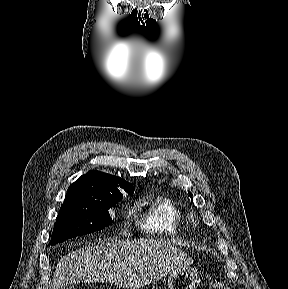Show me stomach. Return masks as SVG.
Wrapping results in <instances>:
<instances>
[{
  "label": "stomach",
  "mask_w": 288,
  "mask_h": 289,
  "mask_svg": "<svg viewBox=\"0 0 288 289\" xmlns=\"http://www.w3.org/2000/svg\"><path fill=\"white\" fill-rule=\"evenodd\" d=\"M199 284V274L193 268H183L171 273L168 277L169 289H197Z\"/></svg>",
  "instance_id": "obj_1"
}]
</instances>
